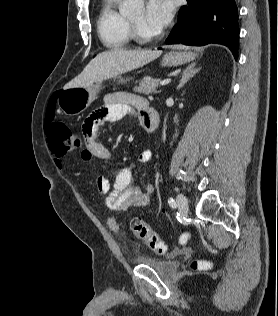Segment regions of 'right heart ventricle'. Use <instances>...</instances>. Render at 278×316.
<instances>
[{
	"instance_id": "obj_1",
	"label": "right heart ventricle",
	"mask_w": 278,
	"mask_h": 316,
	"mask_svg": "<svg viewBox=\"0 0 278 316\" xmlns=\"http://www.w3.org/2000/svg\"><path fill=\"white\" fill-rule=\"evenodd\" d=\"M121 0H102L97 17V31L109 49L127 47L132 39L128 18L119 11Z\"/></svg>"
}]
</instances>
